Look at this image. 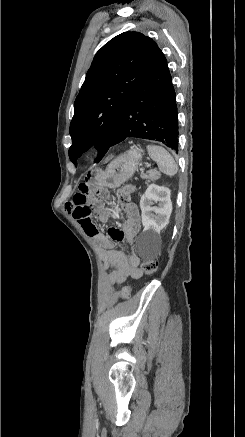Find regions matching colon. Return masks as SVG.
<instances>
[{"mask_svg":"<svg viewBox=\"0 0 245 437\" xmlns=\"http://www.w3.org/2000/svg\"><path fill=\"white\" fill-rule=\"evenodd\" d=\"M135 191V188L131 185L122 187L118 193L117 198L121 203H128L131 194ZM158 262L156 260H146L141 264V270L145 275H152L157 271ZM129 290L127 288L123 289L120 293L122 298H127L129 296Z\"/></svg>","mask_w":245,"mask_h":437,"instance_id":"obj_1","label":"colon"}]
</instances>
